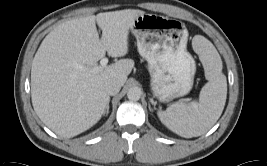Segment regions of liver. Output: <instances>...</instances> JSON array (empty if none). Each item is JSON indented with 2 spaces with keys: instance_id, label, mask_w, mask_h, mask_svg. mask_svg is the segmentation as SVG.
I'll return each instance as SVG.
<instances>
[{
  "instance_id": "liver-1",
  "label": "liver",
  "mask_w": 267,
  "mask_h": 166,
  "mask_svg": "<svg viewBox=\"0 0 267 166\" xmlns=\"http://www.w3.org/2000/svg\"><path fill=\"white\" fill-rule=\"evenodd\" d=\"M144 14L125 9L80 17L58 25L44 38L32 61L31 97L37 116L48 128L71 138L101 119L109 100L106 82L124 85L134 61L120 59L102 70L93 69L106 51L111 57L128 53L129 30Z\"/></svg>"
}]
</instances>
